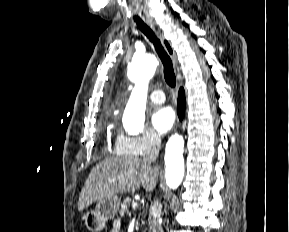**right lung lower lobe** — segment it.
<instances>
[{"mask_svg":"<svg viewBox=\"0 0 289 232\" xmlns=\"http://www.w3.org/2000/svg\"><path fill=\"white\" fill-rule=\"evenodd\" d=\"M177 113L180 120H182L185 113V93L182 88L179 90L178 94Z\"/></svg>","mask_w":289,"mask_h":232,"instance_id":"98d812e1","label":"right lung lower lobe"}]
</instances>
